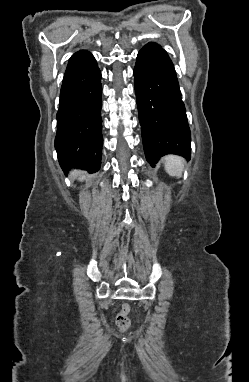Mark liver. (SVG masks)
I'll return each mask as SVG.
<instances>
[{
    "mask_svg": "<svg viewBox=\"0 0 249 382\" xmlns=\"http://www.w3.org/2000/svg\"><path fill=\"white\" fill-rule=\"evenodd\" d=\"M76 175H78V173H76ZM79 179H80V180H83V179H84V176L81 175Z\"/></svg>",
    "mask_w": 249,
    "mask_h": 382,
    "instance_id": "6515ba94",
    "label": "liver"
}]
</instances>
